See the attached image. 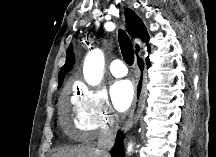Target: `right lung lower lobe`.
<instances>
[{"mask_svg": "<svg viewBox=\"0 0 216 157\" xmlns=\"http://www.w3.org/2000/svg\"><path fill=\"white\" fill-rule=\"evenodd\" d=\"M147 66H150V61L149 59H146ZM123 133L121 131H118L117 136H116V141L111 149V156L112 157H124V144H123Z\"/></svg>", "mask_w": 216, "mask_h": 157, "instance_id": "obj_1", "label": "right lung lower lobe"}]
</instances>
